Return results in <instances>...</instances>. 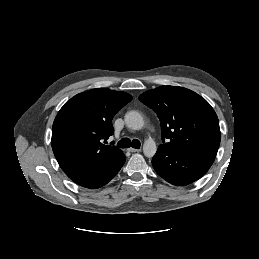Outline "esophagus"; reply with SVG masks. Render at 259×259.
Segmentation results:
<instances>
[{
  "label": "esophagus",
  "instance_id": "obj_1",
  "mask_svg": "<svg viewBox=\"0 0 259 259\" xmlns=\"http://www.w3.org/2000/svg\"><path fill=\"white\" fill-rule=\"evenodd\" d=\"M128 151H129V152H140L141 149L129 148Z\"/></svg>",
  "mask_w": 259,
  "mask_h": 259
}]
</instances>
